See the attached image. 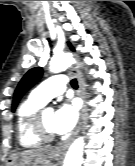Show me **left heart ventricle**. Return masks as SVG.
I'll return each instance as SVG.
<instances>
[{"label": "left heart ventricle", "mask_w": 135, "mask_h": 166, "mask_svg": "<svg viewBox=\"0 0 135 166\" xmlns=\"http://www.w3.org/2000/svg\"><path fill=\"white\" fill-rule=\"evenodd\" d=\"M54 115H55V113L51 110H46L43 115L44 125H45L46 129L51 133H54V131H53Z\"/></svg>", "instance_id": "left-heart-ventricle-1"}]
</instances>
